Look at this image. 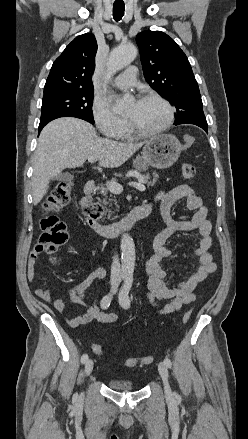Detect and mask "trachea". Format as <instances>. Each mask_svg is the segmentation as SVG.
Here are the masks:
<instances>
[{
  "instance_id": "3493384b",
  "label": "trachea",
  "mask_w": 248,
  "mask_h": 439,
  "mask_svg": "<svg viewBox=\"0 0 248 439\" xmlns=\"http://www.w3.org/2000/svg\"><path fill=\"white\" fill-rule=\"evenodd\" d=\"M124 5H113V18L115 21H120L124 15Z\"/></svg>"
}]
</instances>
